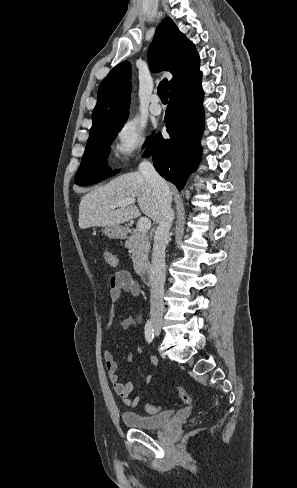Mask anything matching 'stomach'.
<instances>
[{"mask_svg":"<svg viewBox=\"0 0 297 488\" xmlns=\"http://www.w3.org/2000/svg\"><path fill=\"white\" fill-rule=\"evenodd\" d=\"M104 234L113 239H125L127 236V230L120 225L106 226L103 230Z\"/></svg>","mask_w":297,"mask_h":488,"instance_id":"stomach-1","label":"stomach"}]
</instances>
